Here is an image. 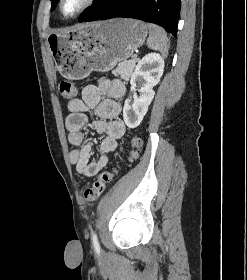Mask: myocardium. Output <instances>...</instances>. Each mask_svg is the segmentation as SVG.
<instances>
[{"mask_svg": "<svg viewBox=\"0 0 247 280\" xmlns=\"http://www.w3.org/2000/svg\"><path fill=\"white\" fill-rule=\"evenodd\" d=\"M65 0H59L58 3V11L61 17L65 20H72L81 15L83 12H85L87 9H89L92 5L95 4L96 0H84L82 5L71 15H65L63 12V5Z\"/></svg>", "mask_w": 247, "mask_h": 280, "instance_id": "f54148a6", "label": "myocardium"}]
</instances>
